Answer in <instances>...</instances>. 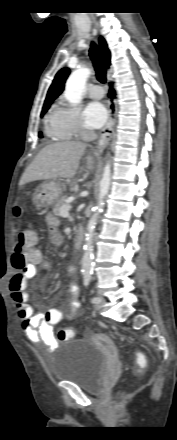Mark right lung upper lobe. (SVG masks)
Here are the masks:
<instances>
[{"instance_id": "right-lung-upper-lobe-1", "label": "right lung upper lobe", "mask_w": 177, "mask_h": 440, "mask_svg": "<svg viewBox=\"0 0 177 440\" xmlns=\"http://www.w3.org/2000/svg\"><path fill=\"white\" fill-rule=\"evenodd\" d=\"M99 44H100L101 53L108 67L110 65V51L103 37L99 38ZM69 74H70V70L68 68H63L60 71H58V73L56 74L53 80V83L51 84L48 90L45 103L53 102L62 93V91L64 90L65 81Z\"/></svg>"}]
</instances>
